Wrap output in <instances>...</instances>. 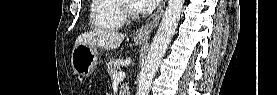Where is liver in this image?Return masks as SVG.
Listing matches in <instances>:
<instances>
[{"instance_id": "liver-1", "label": "liver", "mask_w": 277, "mask_h": 95, "mask_svg": "<svg viewBox=\"0 0 277 95\" xmlns=\"http://www.w3.org/2000/svg\"><path fill=\"white\" fill-rule=\"evenodd\" d=\"M123 40L124 35L121 33L108 30H94L79 35L75 41V46L87 44L92 47L115 50L120 47Z\"/></svg>"}]
</instances>
